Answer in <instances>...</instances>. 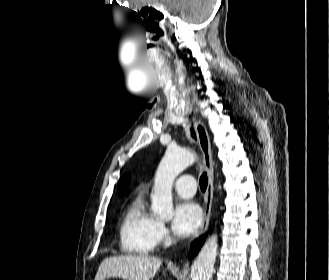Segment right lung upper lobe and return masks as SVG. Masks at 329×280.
<instances>
[{
	"instance_id": "cb5924a9",
	"label": "right lung upper lobe",
	"mask_w": 329,
	"mask_h": 280,
	"mask_svg": "<svg viewBox=\"0 0 329 280\" xmlns=\"http://www.w3.org/2000/svg\"><path fill=\"white\" fill-rule=\"evenodd\" d=\"M130 182V175L125 174L118 182V190H124Z\"/></svg>"
}]
</instances>
